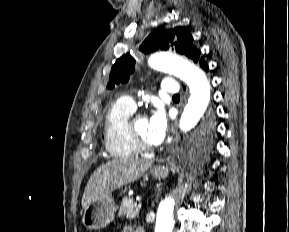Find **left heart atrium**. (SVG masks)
I'll use <instances>...</instances> for the list:
<instances>
[{
	"mask_svg": "<svg viewBox=\"0 0 289 232\" xmlns=\"http://www.w3.org/2000/svg\"><path fill=\"white\" fill-rule=\"evenodd\" d=\"M168 123L164 111L157 108L147 119L148 137L153 145L160 144L167 133Z\"/></svg>",
	"mask_w": 289,
	"mask_h": 232,
	"instance_id": "left-heart-atrium-1",
	"label": "left heart atrium"
}]
</instances>
